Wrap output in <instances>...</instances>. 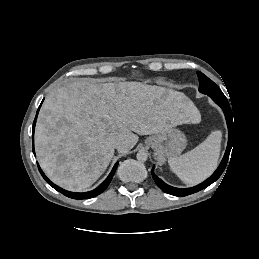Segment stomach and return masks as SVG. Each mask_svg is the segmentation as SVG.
Instances as JSON below:
<instances>
[{
	"mask_svg": "<svg viewBox=\"0 0 259 259\" xmlns=\"http://www.w3.org/2000/svg\"><path fill=\"white\" fill-rule=\"evenodd\" d=\"M154 150L155 159L164 161L180 155L186 147V137L177 128L172 127L164 132L149 136L145 141Z\"/></svg>",
	"mask_w": 259,
	"mask_h": 259,
	"instance_id": "obj_1",
	"label": "stomach"
}]
</instances>
